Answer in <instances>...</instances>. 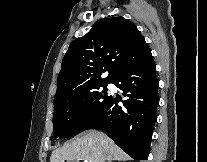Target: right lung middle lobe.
<instances>
[{"instance_id":"dd1d6c3e","label":"right lung middle lobe","mask_w":207,"mask_h":162,"mask_svg":"<svg viewBox=\"0 0 207 162\" xmlns=\"http://www.w3.org/2000/svg\"><path fill=\"white\" fill-rule=\"evenodd\" d=\"M106 86L54 99V137H72L85 130L111 99ZM100 87L103 92L98 91Z\"/></svg>"}]
</instances>
